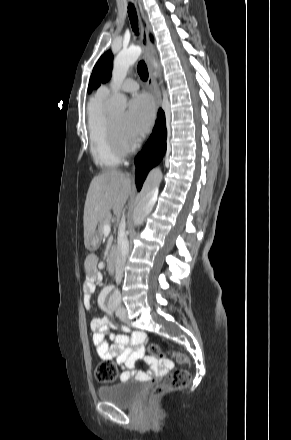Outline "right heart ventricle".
<instances>
[{
  "label": "right heart ventricle",
  "mask_w": 291,
  "mask_h": 440,
  "mask_svg": "<svg viewBox=\"0 0 291 440\" xmlns=\"http://www.w3.org/2000/svg\"><path fill=\"white\" fill-rule=\"evenodd\" d=\"M107 96L99 90L88 106V137L89 148L96 165L103 168L117 167L121 163L119 156L112 148L107 128V116L103 112V103Z\"/></svg>",
  "instance_id": "obj_1"
}]
</instances>
